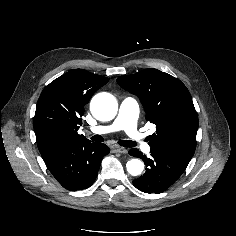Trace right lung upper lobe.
<instances>
[{"mask_svg":"<svg viewBox=\"0 0 236 236\" xmlns=\"http://www.w3.org/2000/svg\"><path fill=\"white\" fill-rule=\"evenodd\" d=\"M108 78L73 69L47 85L37 102L34 131L41 154L73 141L87 139L77 133L84 106Z\"/></svg>","mask_w":236,"mask_h":236,"instance_id":"right-lung-upper-lobe-1","label":"right lung upper lobe"}]
</instances>
